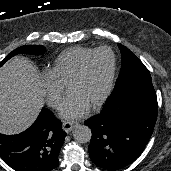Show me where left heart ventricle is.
Wrapping results in <instances>:
<instances>
[{
    "instance_id": "b2bd125f",
    "label": "left heart ventricle",
    "mask_w": 171,
    "mask_h": 171,
    "mask_svg": "<svg viewBox=\"0 0 171 171\" xmlns=\"http://www.w3.org/2000/svg\"><path fill=\"white\" fill-rule=\"evenodd\" d=\"M111 67L112 58L108 52L96 54L88 63L82 77L68 87L69 94H78L91 107L104 93Z\"/></svg>"
}]
</instances>
